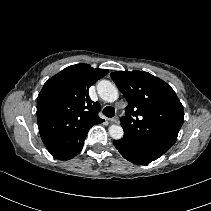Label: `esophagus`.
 <instances>
[{
  "mask_svg": "<svg viewBox=\"0 0 211 211\" xmlns=\"http://www.w3.org/2000/svg\"><path fill=\"white\" fill-rule=\"evenodd\" d=\"M109 121L111 123H118L119 122V119H118V117H113V118H110Z\"/></svg>",
  "mask_w": 211,
  "mask_h": 211,
  "instance_id": "34e87169",
  "label": "esophagus"
}]
</instances>
